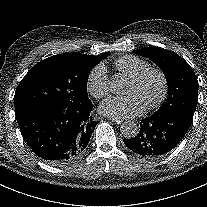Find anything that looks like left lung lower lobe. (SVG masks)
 <instances>
[{"instance_id":"1","label":"left lung lower lobe","mask_w":207,"mask_h":207,"mask_svg":"<svg viewBox=\"0 0 207 207\" xmlns=\"http://www.w3.org/2000/svg\"><path fill=\"white\" fill-rule=\"evenodd\" d=\"M191 121L179 113L153 114L141 122L137 136L123 141L135 153L145 158H157L178 145Z\"/></svg>"}]
</instances>
